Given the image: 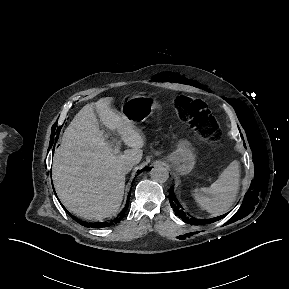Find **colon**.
<instances>
[{"instance_id":"colon-1","label":"colon","mask_w":289,"mask_h":289,"mask_svg":"<svg viewBox=\"0 0 289 289\" xmlns=\"http://www.w3.org/2000/svg\"><path fill=\"white\" fill-rule=\"evenodd\" d=\"M175 105L198 134L208 140L216 138L217 130L214 126L211 113L202 100L179 96L175 99Z\"/></svg>"}]
</instances>
